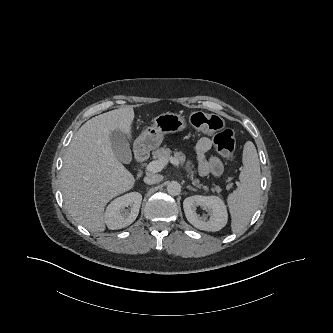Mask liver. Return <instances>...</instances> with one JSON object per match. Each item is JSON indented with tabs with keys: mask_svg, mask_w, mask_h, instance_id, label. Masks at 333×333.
<instances>
[{
	"mask_svg": "<svg viewBox=\"0 0 333 333\" xmlns=\"http://www.w3.org/2000/svg\"><path fill=\"white\" fill-rule=\"evenodd\" d=\"M133 120L132 106L95 116L75 133L65 154L61 170L65 208L91 232L105 230L106 204L134 186V176L116 158L110 142L115 130L130 139Z\"/></svg>",
	"mask_w": 333,
	"mask_h": 333,
	"instance_id": "obj_1",
	"label": "liver"
}]
</instances>
